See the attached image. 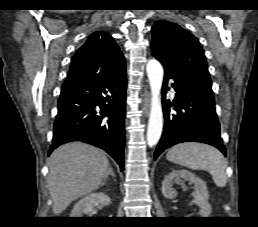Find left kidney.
Instances as JSON below:
<instances>
[{"label":"left kidney","mask_w":258,"mask_h":227,"mask_svg":"<svg viewBox=\"0 0 258 227\" xmlns=\"http://www.w3.org/2000/svg\"><path fill=\"white\" fill-rule=\"evenodd\" d=\"M181 179L194 184V192L192 194L194 197L193 203L201 209L200 217H209L212 208L208 202L209 193L206 183L188 170H173L167 174L162 182L163 195L166 198L171 199L175 193L172 186Z\"/></svg>","instance_id":"5707ae66"}]
</instances>
